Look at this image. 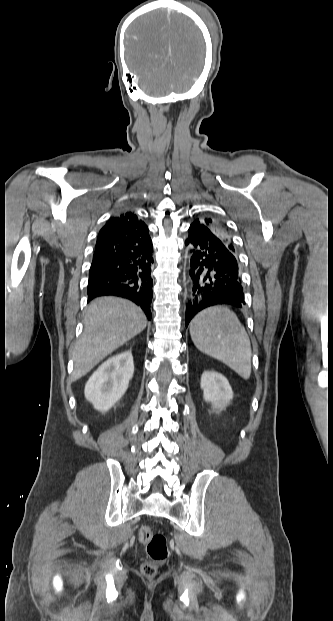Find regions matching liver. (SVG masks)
Here are the masks:
<instances>
[{"label": "liver", "mask_w": 333, "mask_h": 621, "mask_svg": "<svg viewBox=\"0 0 333 621\" xmlns=\"http://www.w3.org/2000/svg\"><path fill=\"white\" fill-rule=\"evenodd\" d=\"M147 325L143 311L132 302L115 298H96L84 318V331L76 343L73 380L86 375L118 347L141 333Z\"/></svg>", "instance_id": "obj_1"}]
</instances>
